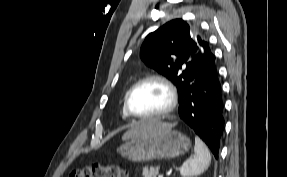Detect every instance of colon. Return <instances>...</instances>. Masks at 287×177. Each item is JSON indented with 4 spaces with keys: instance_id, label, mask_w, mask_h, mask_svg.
<instances>
[{
    "instance_id": "1",
    "label": "colon",
    "mask_w": 287,
    "mask_h": 177,
    "mask_svg": "<svg viewBox=\"0 0 287 177\" xmlns=\"http://www.w3.org/2000/svg\"><path fill=\"white\" fill-rule=\"evenodd\" d=\"M70 177H128L127 172L114 163H94L71 172Z\"/></svg>"
}]
</instances>
